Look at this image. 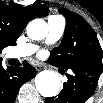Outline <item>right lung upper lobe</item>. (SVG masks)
<instances>
[{
    "mask_svg": "<svg viewBox=\"0 0 103 103\" xmlns=\"http://www.w3.org/2000/svg\"><path fill=\"white\" fill-rule=\"evenodd\" d=\"M49 13L46 6L0 4V53L2 49L15 45L16 40L30 20Z\"/></svg>",
    "mask_w": 103,
    "mask_h": 103,
    "instance_id": "cb5924a9",
    "label": "right lung upper lobe"
}]
</instances>
